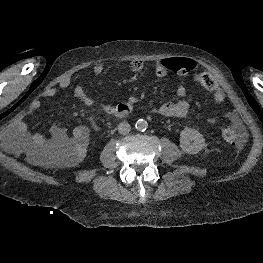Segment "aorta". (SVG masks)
Listing matches in <instances>:
<instances>
[{"instance_id":"762f6f07","label":"aorta","mask_w":263,"mask_h":263,"mask_svg":"<svg viewBox=\"0 0 263 263\" xmlns=\"http://www.w3.org/2000/svg\"><path fill=\"white\" fill-rule=\"evenodd\" d=\"M135 128L137 131L144 132L148 128V123L144 119H139L135 123Z\"/></svg>"}]
</instances>
